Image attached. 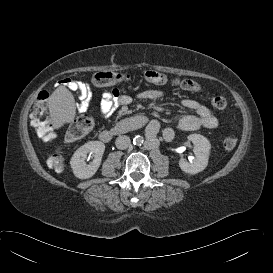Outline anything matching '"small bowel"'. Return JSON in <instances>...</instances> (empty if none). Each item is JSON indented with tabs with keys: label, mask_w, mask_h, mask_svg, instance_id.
Segmentation results:
<instances>
[{
	"label": "small bowel",
	"mask_w": 273,
	"mask_h": 273,
	"mask_svg": "<svg viewBox=\"0 0 273 273\" xmlns=\"http://www.w3.org/2000/svg\"><path fill=\"white\" fill-rule=\"evenodd\" d=\"M61 83L80 95L81 102L78 104L79 112L94 111L100 116L108 117L116 108L128 105L132 102L131 96L121 94L118 89L104 92L99 98H95L90 86L83 81L64 78ZM181 88L191 92L200 90L192 91L186 86H181ZM164 95V91L159 89H145L139 92L138 98L142 100H159ZM181 104L183 107L193 110L195 114L182 116L176 124L178 131H195L201 128L214 129L217 126L218 122L216 117L204 104L193 99H184ZM157 127L158 124L154 123V128L150 130L151 135L156 132ZM162 136L165 141H171L175 136V130L172 127H165L162 130Z\"/></svg>",
	"instance_id": "c3829d8e"
}]
</instances>
